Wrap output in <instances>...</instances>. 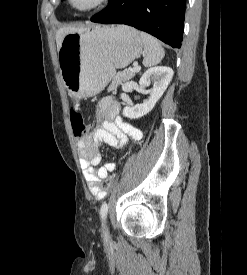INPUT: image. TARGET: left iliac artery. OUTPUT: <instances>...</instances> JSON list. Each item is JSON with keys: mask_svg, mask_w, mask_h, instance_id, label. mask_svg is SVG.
<instances>
[{"mask_svg": "<svg viewBox=\"0 0 247 275\" xmlns=\"http://www.w3.org/2000/svg\"><path fill=\"white\" fill-rule=\"evenodd\" d=\"M108 212V204L104 202L100 208V216L102 220H105Z\"/></svg>", "mask_w": 247, "mask_h": 275, "instance_id": "obj_1", "label": "left iliac artery"}]
</instances>
